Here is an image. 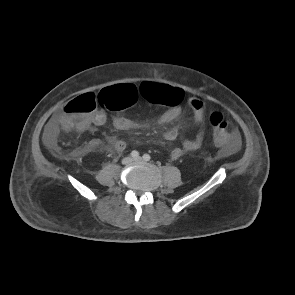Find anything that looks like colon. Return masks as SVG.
<instances>
[{"mask_svg": "<svg viewBox=\"0 0 295 295\" xmlns=\"http://www.w3.org/2000/svg\"><path fill=\"white\" fill-rule=\"evenodd\" d=\"M138 93L155 104L177 105L182 101L181 93L166 85L144 83L139 91L131 84H115L103 89L98 95L87 93L67 102L59 117L60 126L70 131L77 129L97 106L110 111H119L135 103ZM213 127V140L218 145L231 146L237 139V133L224 120L219 112L210 115Z\"/></svg>", "mask_w": 295, "mask_h": 295, "instance_id": "5ec220e1", "label": "colon"}]
</instances>
